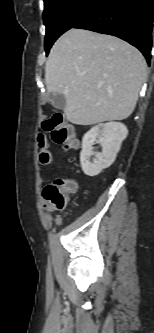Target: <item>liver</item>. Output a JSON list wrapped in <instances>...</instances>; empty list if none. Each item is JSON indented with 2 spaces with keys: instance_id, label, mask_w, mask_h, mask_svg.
Here are the masks:
<instances>
[{
  "instance_id": "obj_1",
  "label": "liver",
  "mask_w": 154,
  "mask_h": 333,
  "mask_svg": "<svg viewBox=\"0 0 154 333\" xmlns=\"http://www.w3.org/2000/svg\"><path fill=\"white\" fill-rule=\"evenodd\" d=\"M138 49L115 36L70 29L54 43L45 65L46 89L66 98L76 125L128 118L146 78Z\"/></svg>"
}]
</instances>
